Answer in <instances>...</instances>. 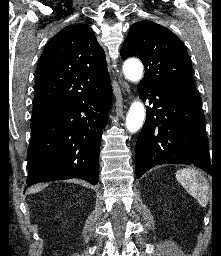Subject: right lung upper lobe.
<instances>
[{
  "mask_svg": "<svg viewBox=\"0 0 221 256\" xmlns=\"http://www.w3.org/2000/svg\"><path fill=\"white\" fill-rule=\"evenodd\" d=\"M106 57L87 25H69L46 45L40 57L32 118L41 117L110 86Z\"/></svg>",
  "mask_w": 221,
  "mask_h": 256,
  "instance_id": "right-lung-upper-lobe-1",
  "label": "right lung upper lobe"
}]
</instances>
